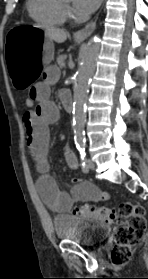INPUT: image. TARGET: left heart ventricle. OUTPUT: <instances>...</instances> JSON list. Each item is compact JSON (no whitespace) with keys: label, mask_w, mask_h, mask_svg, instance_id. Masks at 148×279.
Returning <instances> with one entry per match:
<instances>
[{"label":"left heart ventricle","mask_w":148,"mask_h":279,"mask_svg":"<svg viewBox=\"0 0 148 279\" xmlns=\"http://www.w3.org/2000/svg\"><path fill=\"white\" fill-rule=\"evenodd\" d=\"M65 3L69 4L72 0H63Z\"/></svg>","instance_id":"b2bd125f"}]
</instances>
